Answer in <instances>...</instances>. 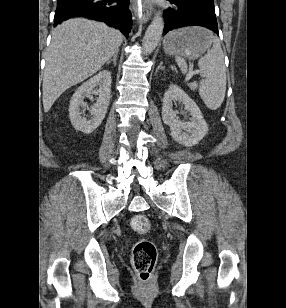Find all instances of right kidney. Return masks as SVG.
<instances>
[{"label":"right kidney","mask_w":286,"mask_h":308,"mask_svg":"<svg viewBox=\"0 0 286 308\" xmlns=\"http://www.w3.org/2000/svg\"><path fill=\"white\" fill-rule=\"evenodd\" d=\"M111 82V72L103 70L78 87L69 105V117L75 129L90 134L101 124L110 102ZM97 86L99 89L95 90ZM92 93H96L99 98L89 110L91 118L87 119L82 117L81 108H86L84 98Z\"/></svg>","instance_id":"ca27d5eb"}]
</instances>
